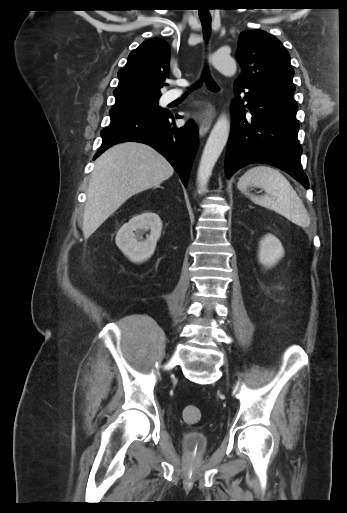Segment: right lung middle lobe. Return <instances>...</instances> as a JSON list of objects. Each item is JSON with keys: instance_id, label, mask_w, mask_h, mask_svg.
Returning <instances> with one entry per match:
<instances>
[{"instance_id": "1", "label": "right lung middle lobe", "mask_w": 347, "mask_h": 513, "mask_svg": "<svg viewBox=\"0 0 347 513\" xmlns=\"http://www.w3.org/2000/svg\"><path fill=\"white\" fill-rule=\"evenodd\" d=\"M159 98H145L125 104L114 105L110 110L111 119L134 114H159L164 112L158 106Z\"/></svg>"}]
</instances>
